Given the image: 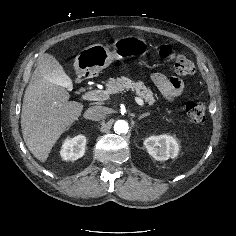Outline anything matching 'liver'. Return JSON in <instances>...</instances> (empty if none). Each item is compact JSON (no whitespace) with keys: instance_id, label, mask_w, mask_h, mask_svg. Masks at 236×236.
Here are the masks:
<instances>
[{"instance_id":"liver-1","label":"liver","mask_w":236,"mask_h":236,"mask_svg":"<svg viewBox=\"0 0 236 236\" xmlns=\"http://www.w3.org/2000/svg\"><path fill=\"white\" fill-rule=\"evenodd\" d=\"M69 98L65 88L45 75L38 60L24 94L21 128L28 149L41 162H46L61 134L81 115L83 105Z\"/></svg>"}]
</instances>
